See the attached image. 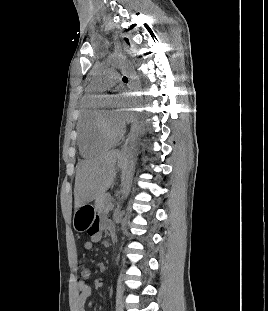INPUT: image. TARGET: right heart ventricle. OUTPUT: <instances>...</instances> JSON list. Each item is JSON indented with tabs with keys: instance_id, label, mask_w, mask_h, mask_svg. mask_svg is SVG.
<instances>
[{
	"instance_id": "obj_1",
	"label": "right heart ventricle",
	"mask_w": 268,
	"mask_h": 311,
	"mask_svg": "<svg viewBox=\"0 0 268 311\" xmlns=\"http://www.w3.org/2000/svg\"><path fill=\"white\" fill-rule=\"evenodd\" d=\"M78 146L84 157H91L110 148L114 141L105 138L99 127V111L94 106V95H87L81 104L78 118Z\"/></svg>"
}]
</instances>
